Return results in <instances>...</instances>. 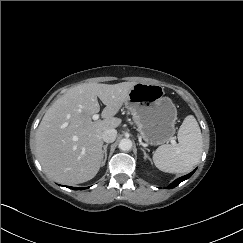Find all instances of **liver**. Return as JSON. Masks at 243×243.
I'll list each match as a JSON object with an SVG mask.
<instances>
[{
	"instance_id": "6515ba94",
	"label": "liver",
	"mask_w": 243,
	"mask_h": 243,
	"mask_svg": "<svg viewBox=\"0 0 243 243\" xmlns=\"http://www.w3.org/2000/svg\"><path fill=\"white\" fill-rule=\"evenodd\" d=\"M135 82L87 83L74 86L45 113L36 131L38 159L47 175L56 182L73 185L96 176L102 163V134L115 129V117L128 99ZM105 105L103 120H92Z\"/></svg>"
}]
</instances>
